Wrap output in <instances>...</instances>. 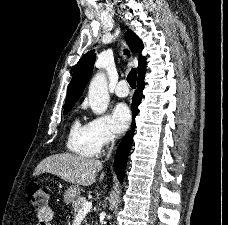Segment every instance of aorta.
Segmentation results:
<instances>
[{"mask_svg":"<svg viewBox=\"0 0 228 225\" xmlns=\"http://www.w3.org/2000/svg\"><path fill=\"white\" fill-rule=\"evenodd\" d=\"M88 100L90 108L95 115H102L107 110L110 96L107 78L103 72H97L93 76L89 84Z\"/></svg>","mask_w":228,"mask_h":225,"instance_id":"762f6f07","label":"aorta"}]
</instances>
